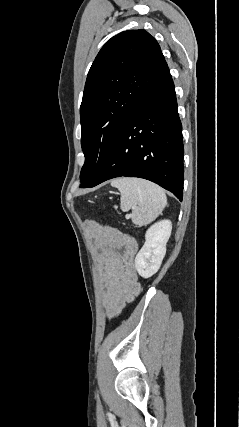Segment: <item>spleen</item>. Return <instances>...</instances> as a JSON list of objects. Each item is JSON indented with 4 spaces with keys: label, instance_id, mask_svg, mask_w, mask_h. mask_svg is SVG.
<instances>
[{
    "label": "spleen",
    "instance_id": "obj_1",
    "mask_svg": "<svg viewBox=\"0 0 239 427\" xmlns=\"http://www.w3.org/2000/svg\"><path fill=\"white\" fill-rule=\"evenodd\" d=\"M111 186L121 193L122 211L132 209V221L139 226H145L155 220L167 204L164 190L147 180L123 177L112 180Z\"/></svg>",
    "mask_w": 239,
    "mask_h": 427
}]
</instances>
